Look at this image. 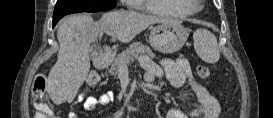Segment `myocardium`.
Returning a JSON list of instances; mask_svg holds the SVG:
<instances>
[{
	"instance_id": "obj_1",
	"label": "myocardium",
	"mask_w": 273,
	"mask_h": 118,
	"mask_svg": "<svg viewBox=\"0 0 273 118\" xmlns=\"http://www.w3.org/2000/svg\"><path fill=\"white\" fill-rule=\"evenodd\" d=\"M186 3L191 10V12H197L203 8V5L200 1L196 0H186Z\"/></svg>"
}]
</instances>
